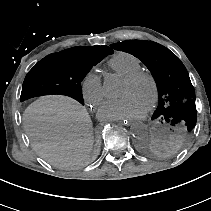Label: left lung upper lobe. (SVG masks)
Masks as SVG:
<instances>
[{"mask_svg": "<svg viewBox=\"0 0 211 211\" xmlns=\"http://www.w3.org/2000/svg\"><path fill=\"white\" fill-rule=\"evenodd\" d=\"M111 47L139 58L157 85L159 102L152 120L166 128V136L159 145L142 143L141 151L159 156L168 149L181 148L191 137L197 121L195 90L183 63L169 49L153 41L128 40Z\"/></svg>", "mask_w": 211, "mask_h": 211, "instance_id": "left-lung-upper-lobe-1", "label": "left lung upper lobe"}]
</instances>
